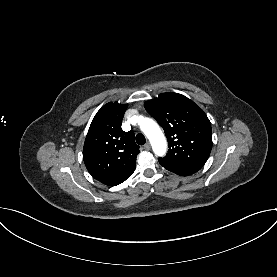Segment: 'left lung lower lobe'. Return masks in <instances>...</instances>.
I'll list each match as a JSON object with an SVG mask.
<instances>
[{"mask_svg": "<svg viewBox=\"0 0 277 277\" xmlns=\"http://www.w3.org/2000/svg\"><path fill=\"white\" fill-rule=\"evenodd\" d=\"M166 169L175 174L181 175V176H188V175L194 174L198 171V170H193V169H168V168H166Z\"/></svg>", "mask_w": 277, "mask_h": 277, "instance_id": "obj_1", "label": "left lung lower lobe"}]
</instances>
